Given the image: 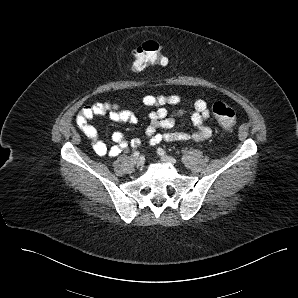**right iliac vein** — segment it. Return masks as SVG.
<instances>
[{
	"mask_svg": "<svg viewBox=\"0 0 298 298\" xmlns=\"http://www.w3.org/2000/svg\"><path fill=\"white\" fill-rule=\"evenodd\" d=\"M130 161H131L132 164L136 165L139 162V157L135 156V155H132L130 157Z\"/></svg>",
	"mask_w": 298,
	"mask_h": 298,
	"instance_id": "right-iliac-vein-1",
	"label": "right iliac vein"
}]
</instances>
